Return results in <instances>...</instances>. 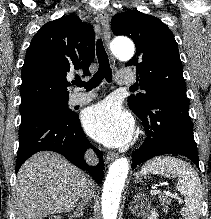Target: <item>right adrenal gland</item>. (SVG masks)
Segmentation results:
<instances>
[{
    "mask_svg": "<svg viewBox=\"0 0 211 219\" xmlns=\"http://www.w3.org/2000/svg\"><path fill=\"white\" fill-rule=\"evenodd\" d=\"M83 216V205H79L76 211L70 215V219L81 218Z\"/></svg>",
    "mask_w": 211,
    "mask_h": 219,
    "instance_id": "2a0ac1e0",
    "label": "right adrenal gland"
}]
</instances>
